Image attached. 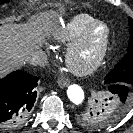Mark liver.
Listing matches in <instances>:
<instances>
[{"label":"liver","instance_id":"6515ba94","mask_svg":"<svg viewBox=\"0 0 133 133\" xmlns=\"http://www.w3.org/2000/svg\"><path fill=\"white\" fill-rule=\"evenodd\" d=\"M51 30L50 15L36 16L28 24H16L11 18L3 20L0 27V78L23 66Z\"/></svg>","mask_w":133,"mask_h":133}]
</instances>
